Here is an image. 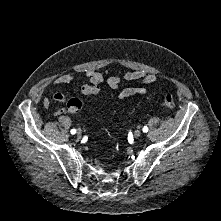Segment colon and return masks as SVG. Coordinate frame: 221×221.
Returning <instances> with one entry per match:
<instances>
[{
  "instance_id": "obj_1",
  "label": "colon",
  "mask_w": 221,
  "mask_h": 221,
  "mask_svg": "<svg viewBox=\"0 0 221 221\" xmlns=\"http://www.w3.org/2000/svg\"><path fill=\"white\" fill-rule=\"evenodd\" d=\"M99 86L96 84H87L82 86L81 93L83 95H94L98 93ZM163 105L167 109H173L175 106L174 96L171 93L165 95ZM68 108L73 111H78L82 108V102L78 98H71L68 103Z\"/></svg>"
}]
</instances>
